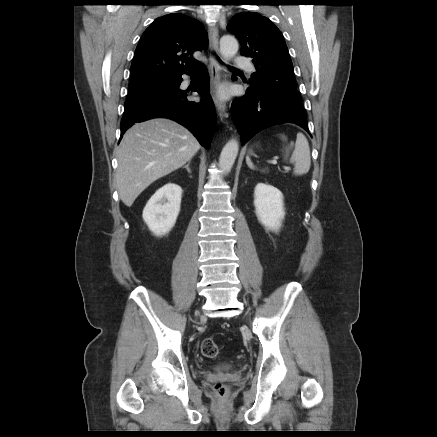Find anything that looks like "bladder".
<instances>
[{
    "mask_svg": "<svg viewBox=\"0 0 437 437\" xmlns=\"http://www.w3.org/2000/svg\"><path fill=\"white\" fill-rule=\"evenodd\" d=\"M235 365L233 363L230 362H225V363H221L215 366V369L218 370H230L232 368H234Z\"/></svg>",
    "mask_w": 437,
    "mask_h": 437,
    "instance_id": "1",
    "label": "bladder"
}]
</instances>
